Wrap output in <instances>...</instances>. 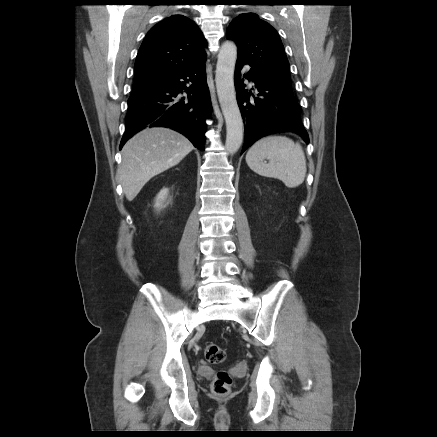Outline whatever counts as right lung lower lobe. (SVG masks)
<instances>
[{"label":"right lung lower lobe","instance_id":"right-lung-lower-lobe-1","mask_svg":"<svg viewBox=\"0 0 437 437\" xmlns=\"http://www.w3.org/2000/svg\"><path fill=\"white\" fill-rule=\"evenodd\" d=\"M206 59L159 80L128 99L125 142L146 126H164L185 135L204 151L205 119L211 110Z\"/></svg>","mask_w":437,"mask_h":437}]
</instances>
